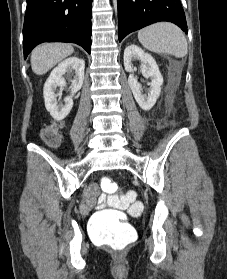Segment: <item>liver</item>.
I'll use <instances>...</instances> for the list:
<instances>
[{
    "instance_id": "obj_1",
    "label": "liver",
    "mask_w": 227,
    "mask_h": 279,
    "mask_svg": "<svg viewBox=\"0 0 227 279\" xmlns=\"http://www.w3.org/2000/svg\"><path fill=\"white\" fill-rule=\"evenodd\" d=\"M74 48L66 43H44L37 46L31 53V67L35 74L48 72L57 63L71 55Z\"/></svg>"
}]
</instances>
